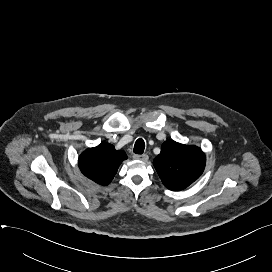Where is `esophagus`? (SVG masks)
Masks as SVG:
<instances>
[{"label": "esophagus", "mask_w": 272, "mask_h": 272, "mask_svg": "<svg viewBox=\"0 0 272 272\" xmlns=\"http://www.w3.org/2000/svg\"><path fill=\"white\" fill-rule=\"evenodd\" d=\"M133 158L136 159V160L144 161V162H146V161L149 159V157H148L147 154H143V155H134Z\"/></svg>", "instance_id": "esophagus-1"}]
</instances>
